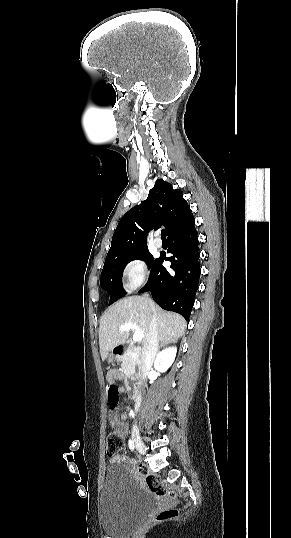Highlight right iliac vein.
I'll list each match as a JSON object with an SVG mask.
<instances>
[{"mask_svg": "<svg viewBox=\"0 0 291 538\" xmlns=\"http://www.w3.org/2000/svg\"><path fill=\"white\" fill-rule=\"evenodd\" d=\"M132 438H133V442H134V445H135L136 450H137L140 454H145V452H146V448H145V445H144V443L142 442V440H141V438H140V435H139V431H138V427H137V425H134V426H133V429H132Z\"/></svg>", "mask_w": 291, "mask_h": 538, "instance_id": "obj_1", "label": "right iliac vein"}]
</instances>
